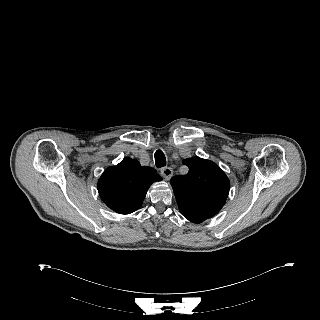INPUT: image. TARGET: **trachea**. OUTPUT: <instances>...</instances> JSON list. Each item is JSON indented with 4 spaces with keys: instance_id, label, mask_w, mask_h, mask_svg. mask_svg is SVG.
Listing matches in <instances>:
<instances>
[{
    "instance_id": "trachea-1",
    "label": "trachea",
    "mask_w": 320,
    "mask_h": 320,
    "mask_svg": "<svg viewBox=\"0 0 320 320\" xmlns=\"http://www.w3.org/2000/svg\"><path fill=\"white\" fill-rule=\"evenodd\" d=\"M155 164L159 168L166 166V158L161 150L155 152Z\"/></svg>"
}]
</instances>
